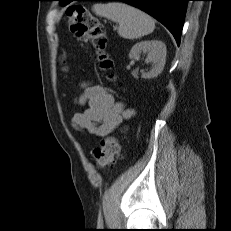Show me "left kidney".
Returning a JSON list of instances; mask_svg holds the SVG:
<instances>
[{"mask_svg": "<svg viewBox=\"0 0 231 231\" xmlns=\"http://www.w3.org/2000/svg\"><path fill=\"white\" fill-rule=\"evenodd\" d=\"M141 52L147 53V61L152 63V69L143 73V78L157 77L162 72L166 62V45L158 40L141 41L132 47L129 58L135 59Z\"/></svg>", "mask_w": 231, "mask_h": 231, "instance_id": "5707ae66", "label": "left kidney"}]
</instances>
